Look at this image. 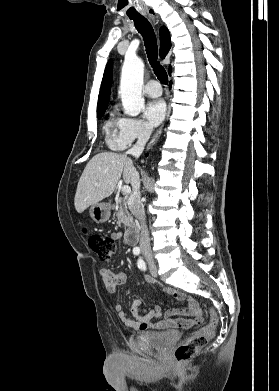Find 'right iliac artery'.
I'll use <instances>...</instances> for the list:
<instances>
[{
	"mask_svg": "<svg viewBox=\"0 0 279 391\" xmlns=\"http://www.w3.org/2000/svg\"><path fill=\"white\" fill-rule=\"evenodd\" d=\"M133 253H134L135 255H139V254H140V249H139L138 247H135V248L133 249Z\"/></svg>",
	"mask_w": 279,
	"mask_h": 391,
	"instance_id": "82829eb1",
	"label": "right iliac artery"
}]
</instances>
